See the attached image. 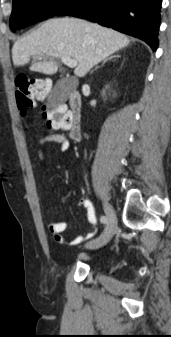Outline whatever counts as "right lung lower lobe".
Segmentation results:
<instances>
[{
    "instance_id": "right-lung-lower-lobe-1",
    "label": "right lung lower lobe",
    "mask_w": 171,
    "mask_h": 337,
    "mask_svg": "<svg viewBox=\"0 0 171 337\" xmlns=\"http://www.w3.org/2000/svg\"><path fill=\"white\" fill-rule=\"evenodd\" d=\"M162 0H75L56 15H69L97 22L158 48Z\"/></svg>"
}]
</instances>
